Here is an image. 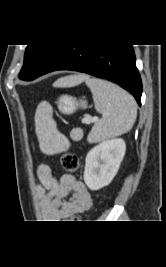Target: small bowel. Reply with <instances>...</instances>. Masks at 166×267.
I'll use <instances>...</instances> for the list:
<instances>
[{
	"instance_id": "small-bowel-1",
	"label": "small bowel",
	"mask_w": 166,
	"mask_h": 267,
	"mask_svg": "<svg viewBox=\"0 0 166 267\" xmlns=\"http://www.w3.org/2000/svg\"><path fill=\"white\" fill-rule=\"evenodd\" d=\"M37 174L40 182L38 196L46 220H62L91 206L92 200L86 186L72 174L66 173L57 179L47 164L40 165Z\"/></svg>"
}]
</instances>
